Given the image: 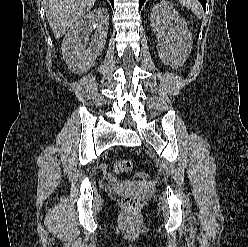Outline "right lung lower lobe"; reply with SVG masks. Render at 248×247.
I'll list each match as a JSON object with an SVG mask.
<instances>
[{"mask_svg": "<svg viewBox=\"0 0 248 247\" xmlns=\"http://www.w3.org/2000/svg\"><path fill=\"white\" fill-rule=\"evenodd\" d=\"M112 4V6L114 7V0H109Z\"/></svg>", "mask_w": 248, "mask_h": 247, "instance_id": "98d812e1", "label": "right lung lower lobe"}]
</instances>
